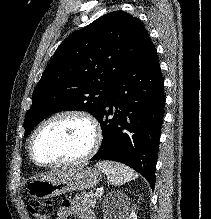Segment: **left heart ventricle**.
<instances>
[{"label": "left heart ventricle", "instance_id": "1", "mask_svg": "<svg viewBox=\"0 0 211 219\" xmlns=\"http://www.w3.org/2000/svg\"><path fill=\"white\" fill-rule=\"evenodd\" d=\"M91 141V130L83 120L62 117L50 122L39 132L33 151L43 163L69 161L83 155Z\"/></svg>", "mask_w": 211, "mask_h": 219}]
</instances>
